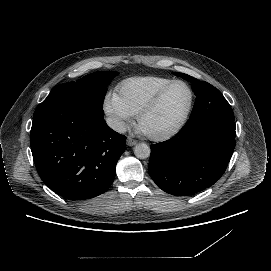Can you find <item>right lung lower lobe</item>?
<instances>
[{
    "label": "right lung lower lobe",
    "instance_id": "right-lung-lower-lobe-1",
    "mask_svg": "<svg viewBox=\"0 0 271 271\" xmlns=\"http://www.w3.org/2000/svg\"><path fill=\"white\" fill-rule=\"evenodd\" d=\"M33 160L42 181L73 200L96 197L109 189L126 137L94 112H50L33 119Z\"/></svg>",
    "mask_w": 271,
    "mask_h": 271
}]
</instances>
